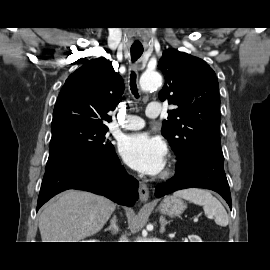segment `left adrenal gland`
Returning <instances> with one entry per match:
<instances>
[{
	"label": "left adrenal gland",
	"mask_w": 270,
	"mask_h": 270,
	"mask_svg": "<svg viewBox=\"0 0 270 270\" xmlns=\"http://www.w3.org/2000/svg\"><path fill=\"white\" fill-rule=\"evenodd\" d=\"M170 223V221H167L163 215L160 216V233H164L166 225Z\"/></svg>",
	"instance_id": "left-adrenal-gland-1"
}]
</instances>
